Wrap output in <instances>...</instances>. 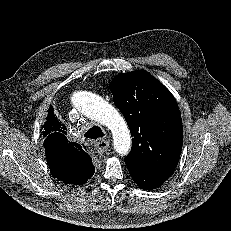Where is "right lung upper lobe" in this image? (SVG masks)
Masks as SVG:
<instances>
[{"mask_svg": "<svg viewBox=\"0 0 231 231\" xmlns=\"http://www.w3.org/2000/svg\"><path fill=\"white\" fill-rule=\"evenodd\" d=\"M44 130V148L53 177L64 183L84 184L94 173L92 160L79 144L68 141L66 126L57 119L52 106Z\"/></svg>", "mask_w": 231, "mask_h": 231, "instance_id": "obj_1", "label": "right lung upper lobe"}]
</instances>
